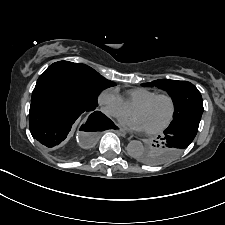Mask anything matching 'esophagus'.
Here are the masks:
<instances>
[{
  "label": "esophagus",
  "instance_id": "esophagus-1",
  "mask_svg": "<svg viewBox=\"0 0 225 225\" xmlns=\"http://www.w3.org/2000/svg\"><path fill=\"white\" fill-rule=\"evenodd\" d=\"M115 132H116L117 134H119L120 136H123V137L126 136V131H125L124 129H122L121 127H119V126H117Z\"/></svg>",
  "mask_w": 225,
  "mask_h": 225
}]
</instances>
